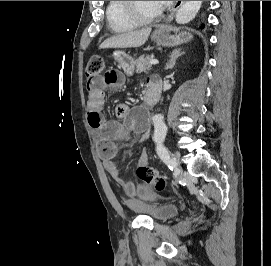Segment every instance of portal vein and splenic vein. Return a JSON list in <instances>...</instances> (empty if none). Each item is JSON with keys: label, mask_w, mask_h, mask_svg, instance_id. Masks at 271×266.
<instances>
[{"label": "portal vein and splenic vein", "mask_w": 271, "mask_h": 266, "mask_svg": "<svg viewBox=\"0 0 271 266\" xmlns=\"http://www.w3.org/2000/svg\"><path fill=\"white\" fill-rule=\"evenodd\" d=\"M149 63H150V65H157L159 63V61L156 59H152Z\"/></svg>", "instance_id": "portal-vein-and-splenic-vein-1"}]
</instances>
